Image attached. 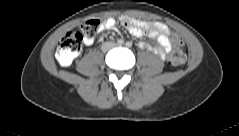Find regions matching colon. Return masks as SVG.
Instances as JSON below:
<instances>
[{"label":"colon","instance_id":"5ec220e1","mask_svg":"<svg viewBox=\"0 0 239 136\" xmlns=\"http://www.w3.org/2000/svg\"><path fill=\"white\" fill-rule=\"evenodd\" d=\"M100 28V22L90 19L83 22L79 31L68 32L59 42L56 58L58 63L63 67H68L74 58L80 53L85 38H94ZM171 41L174 50L169 56V64L177 67L184 63L186 55L184 43L176 34L171 35Z\"/></svg>","mask_w":239,"mask_h":136}]
</instances>
